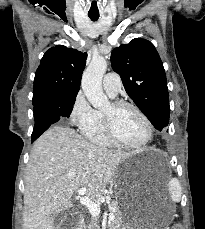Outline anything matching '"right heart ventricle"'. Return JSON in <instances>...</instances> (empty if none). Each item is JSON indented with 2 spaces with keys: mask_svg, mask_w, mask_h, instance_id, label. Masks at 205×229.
I'll return each instance as SVG.
<instances>
[{
  "mask_svg": "<svg viewBox=\"0 0 205 229\" xmlns=\"http://www.w3.org/2000/svg\"><path fill=\"white\" fill-rule=\"evenodd\" d=\"M81 131L84 137L90 142L100 146H111V143L108 141L104 132L103 116L101 111L95 110V118L93 122Z\"/></svg>",
  "mask_w": 205,
  "mask_h": 229,
  "instance_id": "e07e8e85",
  "label": "right heart ventricle"
}]
</instances>
